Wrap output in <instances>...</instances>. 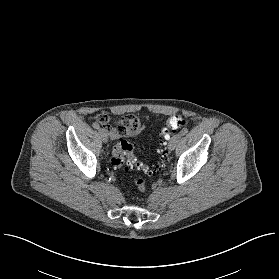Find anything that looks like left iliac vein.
I'll use <instances>...</instances> for the list:
<instances>
[{
	"instance_id": "obj_1",
	"label": "left iliac vein",
	"mask_w": 279,
	"mask_h": 279,
	"mask_svg": "<svg viewBox=\"0 0 279 279\" xmlns=\"http://www.w3.org/2000/svg\"><path fill=\"white\" fill-rule=\"evenodd\" d=\"M181 139V134H175L171 137L169 143H168V149L170 151H173L177 145V143L179 142V140Z\"/></svg>"
}]
</instances>
